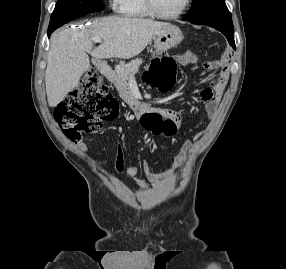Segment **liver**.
I'll return each instance as SVG.
<instances>
[{
	"mask_svg": "<svg viewBox=\"0 0 286 269\" xmlns=\"http://www.w3.org/2000/svg\"><path fill=\"white\" fill-rule=\"evenodd\" d=\"M166 22L141 18L104 17L86 29H63L51 37L45 84L50 107H56L89 70L90 60L130 59L139 55ZM103 43L94 47L93 39Z\"/></svg>",
	"mask_w": 286,
	"mask_h": 269,
	"instance_id": "6515ba94",
	"label": "liver"
}]
</instances>
